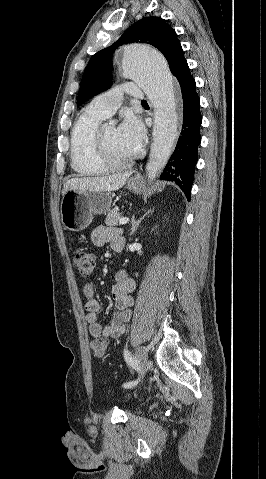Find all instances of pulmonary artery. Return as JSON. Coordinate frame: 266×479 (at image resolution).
<instances>
[{"label":"pulmonary artery","mask_w":266,"mask_h":479,"mask_svg":"<svg viewBox=\"0 0 266 479\" xmlns=\"http://www.w3.org/2000/svg\"><path fill=\"white\" fill-rule=\"evenodd\" d=\"M124 92L136 99H145L146 97V93L137 84L128 82L124 86H116L98 95L89 103L87 108L104 118H108L121 105Z\"/></svg>","instance_id":"obj_1"}]
</instances>
